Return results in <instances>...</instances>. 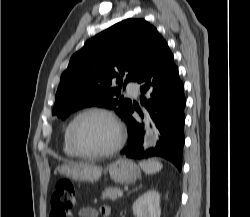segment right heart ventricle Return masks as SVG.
<instances>
[{"label":"right heart ventricle","mask_w":250,"mask_h":217,"mask_svg":"<svg viewBox=\"0 0 250 217\" xmlns=\"http://www.w3.org/2000/svg\"><path fill=\"white\" fill-rule=\"evenodd\" d=\"M63 152L69 157H77L78 155L74 152L68 142L67 138V129L64 132L63 136V144H62Z\"/></svg>","instance_id":"e07e8e85"}]
</instances>
